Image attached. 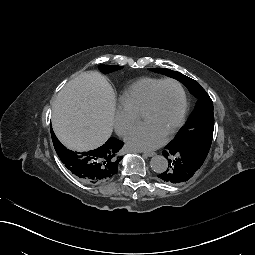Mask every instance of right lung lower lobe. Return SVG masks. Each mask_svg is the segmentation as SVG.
Listing matches in <instances>:
<instances>
[{
	"mask_svg": "<svg viewBox=\"0 0 255 255\" xmlns=\"http://www.w3.org/2000/svg\"><path fill=\"white\" fill-rule=\"evenodd\" d=\"M98 159L91 154L83 156V176L85 178H97L100 176Z\"/></svg>",
	"mask_w": 255,
	"mask_h": 255,
	"instance_id": "right-lung-lower-lobe-1",
	"label": "right lung lower lobe"
}]
</instances>
